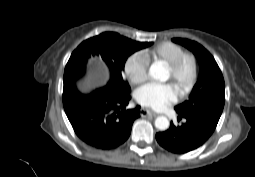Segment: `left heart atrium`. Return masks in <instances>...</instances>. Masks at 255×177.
Returning <instances> with one entry per match:
<instances>
[{"mask_svg":"<svg viewBox=\"0 0 255 177\" xmlns=\"http://www.w3.org/2000/svg\"><path fill=\"white\" fill-rule=\"evenodd\" d=\"M178 99V91L171 84L147 83L136 91V100L143 106L156 110L164 109L175 103Z\"/></svg>","mask_w":255,"mask_h":177,"instance_id":"left-heart-atrium-1","label":"left heart atrium"}]
</instances>
